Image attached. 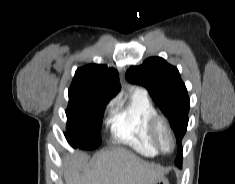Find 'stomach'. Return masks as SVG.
I'll return each instance as SVG.
<instances>
[{"mask_svg": "<svg viewBox=\"0 0 235 184\" xmlns=\"http://www.w3.org/2000/svg\"><path fill=\"white\" fill-rule=\"evenodd\" d=\"M154 184H170L168 178H166V176H161V178H159V180H156V182H154Z\"/></svg>", "mask_w": 235, "mask_h": 184, "instance_id": "0dacf381", "label": "stomach"}]
</instances>
